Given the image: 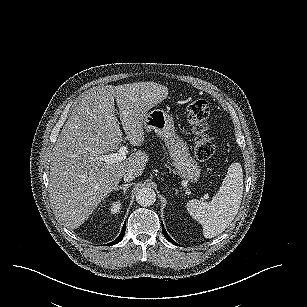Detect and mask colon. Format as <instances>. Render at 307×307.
Returning a JSON list of instances; mask_svg holds the SVG:
<instances>
[{"label":"colon","instance_id":"5ec220e1","mask_svg":"<svg viewBox=\"0 0 307 307\" xmlns=\"http://www.w3.org/2000/svg\"><path fill=\"white\" fill-rule=\"evenodd\" d=\"M210 109L204 99H196L186 106V116L195 134L194 153L197 159L206 161L215 153V143L210 133Z\"/></svg>","mask_w":307,"mask_h":307}]
</instances>
